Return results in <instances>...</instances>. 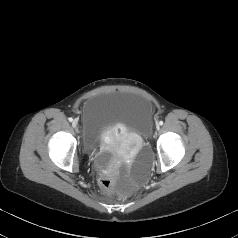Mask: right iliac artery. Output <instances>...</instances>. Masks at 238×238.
<instances>
[{
    "instance_id": "82829eb1",
    "label": "right iliac artery",
    "mask_w": 238,
    "mask_h": 238,
    "mask_svg": "<svg viewBox=\"0 0 238 238\" xmlns=\"http://www.w3.org/2000/svg\"><path fill=\"white\" fill-rule=\"evenodd\" d=\"M68 120H69L70 122H72V121H73V118L70 117Z\"/></svg>"
}]
</instances>
